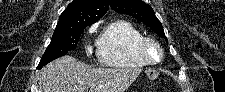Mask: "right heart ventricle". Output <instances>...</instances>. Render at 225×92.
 <instances>
[{
  "label": "right heart ventricle",
  "mask_w": 225,
  "mask_h": 92,
  "mask_svg": "<svg viewBox=\"0 0 225 92\" xmlns=\"http://www.w3.org/2000/svg\"><path fill=\"white\" fill-rule=\"evenodd\" d=\"M144 34L131 22L108 23L98 40L99 61L109 67H142L145 65L138 45Z\"/></svg>",
  "instance_id": "right-heart-ventricle-1"
}]
</instances>
